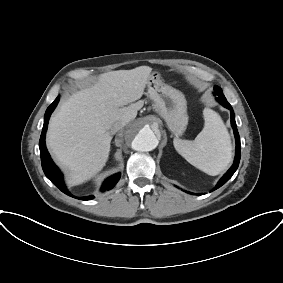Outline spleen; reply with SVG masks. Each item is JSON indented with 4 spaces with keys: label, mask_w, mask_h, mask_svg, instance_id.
<instances>
[{
    "label": "spleen",
    "mask_w": 283,
    "mask_h": 283,
    "mask_svg": "<svg viewBox=\"0 0 283 283\" xmlns=\"http://www.w3.org/2000/svg\"><path fill=\"white\" fill-rule=\"evenodd\" d=\"M204 127L195 140L174 139V147L191 165L208 175L216 176L224 171L232 160L229 133L221 117L205 108Z\"/></svg>",
    "instance_id": "spleen-1"
}]
</instances>
